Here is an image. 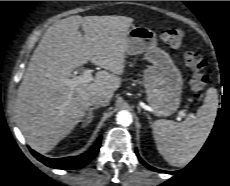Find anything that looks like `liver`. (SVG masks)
<instances>
[{
  "label": "liver",
  "instance_id": "liver-1",
  "mask_svg": "<svg viewBox=\"0 0 230 186\" xmlns=\"http://www.w3.org/2000/svg\"><path fill=\"white\" fill-rule=\"evenodd\" d=\"M132 22L126 16L75 15L47 29L31 56L15 102L19 127L32 149L52 150L86 115L93 95L113 97L121 85ZM89 60L105 70L98 71L93 82L72 90L67 80Z\"/></svg>",
  "mask_w": 230,
  "mask_h": 186
}]
</instances>
